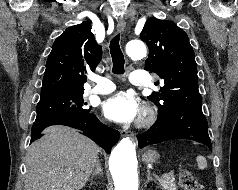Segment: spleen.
Returning <instances> with one entry per match:
<instances>
[{
	"instance_id": "spleen-1",
	"label": "spleen",
	"mask_w": 238,
	"mask_h": 190,
	"mask_svg": "<svg viewBox=\"0 0 238 190\" xmlns=\"http://www.w3.org/2000/svg\"><path fill=\"white\" fill-rule=\"evenodd\" d=\"M197 164H198L199 169H201V170L205 169L207 167V161H206L205 157L199 155L197 157Z\"/></svg>"
}]
</instances>
